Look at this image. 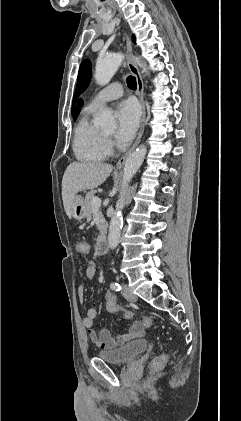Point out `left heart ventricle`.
<instances>
[{"label":"left heart ventricle","mask_w":241,"mask_h":421,"mask_svg":"<svg viewBox=\"0 0 241 421\" xmlns=\"http://www.w3.org/2000/svg\"><path fill=\"white\" fill-rule=\"evenodd\" d=\"M112 133H113V131H108L106 134L111 135Z\"/></svg>","instance_id":"1"}]
</instances>
